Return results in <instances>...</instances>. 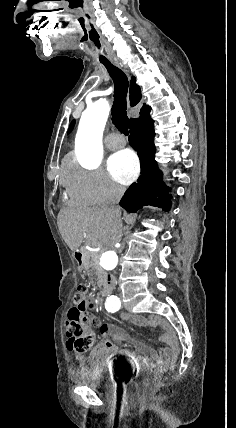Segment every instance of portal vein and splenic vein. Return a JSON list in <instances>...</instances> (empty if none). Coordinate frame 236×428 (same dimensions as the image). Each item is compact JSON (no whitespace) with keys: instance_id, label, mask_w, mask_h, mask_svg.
Segmentation results:
<instances>
[{"instance_id":"1","label":"portal vein and splenic vein","mask_w":236,"mask_h":428,"mask_svg":"<svg viewBox=\"0 0 236 428\" xmlns=\"http://www.w3.org/2000/svg\"><path fill=\"white\" fill-rule=\"evenodd\" d=\"M91 246H96V244H91Z\"/></svg>"}]
</instances>
